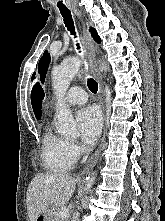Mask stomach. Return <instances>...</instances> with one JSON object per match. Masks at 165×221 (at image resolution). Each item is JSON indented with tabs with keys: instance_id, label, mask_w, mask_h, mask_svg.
<instances>
[{
	"instance_id": "0dacf381",
	"label": "stomach",
	"mask_w": 165,
	"mask_h": 221,
	"mask_svg": "<svg viewBox=\"0 0 165 221\" xmlns=\"http://www.w3.org/2000/svg\"><path fill=\"white\" fill-rule=\"evenodd\" d=\"M55 207L54 206H49L47 209L42 211L38 216L36 221H54V214Z\"/></svg>"
}]
</instances>
